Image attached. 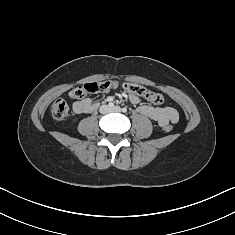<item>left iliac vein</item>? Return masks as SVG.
<instances>
[{"instance_id":"4c4485c4","label":"left iliac vein","mask_w":235,"mask_h":235,"mask_svg":"<svg viewBox=\"0 0 235 235\" xmlns=\"http://www.w3.org/2000/svg\"><path fill=\"white\" fill-rule=\"evenodd\" d=\"M112 112H120L121 108L119 106H115L111 109Z\"/></svg>"}]
</instances>
